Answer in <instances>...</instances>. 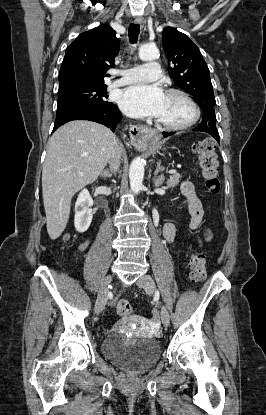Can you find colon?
<instances>
[{
	"mask_svg": "<svg viewBox=\"0 0 266 415\" xmlns=\"http://www.w3.org/2000/svg\"><path fill=\"white\" fill-rule=\"evenodd\" d=\"M194 152L198 156L201 175L205 181V186L210 193H217L220 188L219 165L215 153V143L212 139L206 138L198 141L193 146ZM190 278L193 282H201L206 277V267L204 255L195 252L189 259ZM117 313L120 316H129L132 313V306L127 300H120L117 303Z\"/></svg>",
	"mask_w": 266,
	"mask_h": 415,
	"instance_id": "colon-1",
	"label": "colon"
}]
</instances>
